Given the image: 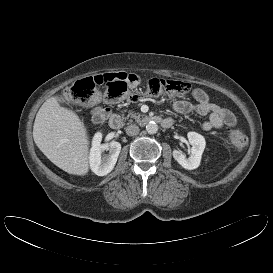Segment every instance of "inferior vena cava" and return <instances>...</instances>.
Wrapping results in <instances>:
<instances>
[{"mask_svg": "<svg viewBox=\"0 0 273 273\" xmlns=\"http://www.w3.org/2000/svg\"><path fill=\"white\" fill-rule=\"evenodd\" d=\"M139 131H140L139 127L137 125H133V124L127 126V128H126V133L129 136H135L139 133Z\"/></svg>", "mask_w": 273, "mask_h": 273, "instance_id": "1", "label": "inferior vena cava"}]
</instances>
